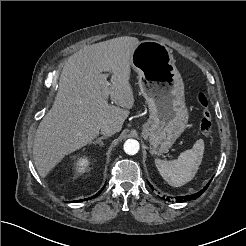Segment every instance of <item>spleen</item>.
<instances>
[{
  "instance_id": "obj_1",
  "label": "spleen",
  "mask_w": 246,
  "mask_h": 246,
  "mask_svg": "<svg viewBox=\"0 0 246 246\" xmlns=\"http://www.w3.org/2000/svg\"><path fill=\"white\" fill-rule=\"evenodd\" d=\"M204 154V141L199 139L192 149L182 152L176 160L155 159V165L162 178L173 187H181L196 175Z\"/></svg>"
}]
</instances>
